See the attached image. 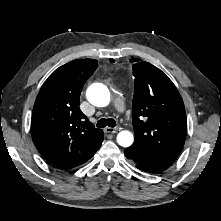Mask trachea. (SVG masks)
I'll return each mask as SVG.
<instances>
[{
    "mask_svg": "<svg viewBox=\"0 0 221 221\" xmlns=\"http://www.w3.org/2000/svg\"><path fill=\"white\" fill-rule=\"evenodd\" d=\"M97 127H106V126H109V127H115L116 126V121L114 119H111V118H101L97 124H96Z\"/></svg>",
    "mask_w": 221,
    "mask_h": 221,
    "instance_id": "3493384b",
    "label": "trachea"
}]
</instances>
